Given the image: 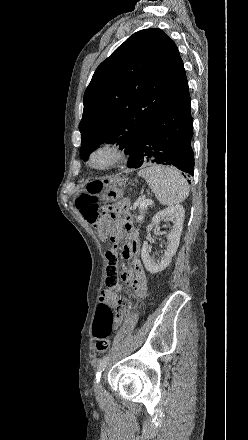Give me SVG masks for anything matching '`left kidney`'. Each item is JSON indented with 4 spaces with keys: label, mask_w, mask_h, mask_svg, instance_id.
<instances>
[{
    "label": "left kidney",
    "mask_w": 248,
    "mask_h": 440,
    "mask_svg": "<svg viewBox=\"0 0 248 440\" xmlns=\"http://www.w3.org/2000/svg\"><path fill=\"white\" fill-rule=\"evenodd\" d=\"M185 210L182 205H175L165 208L157 212L151 221V224L147 226V232L149 233L154 225H158L160 221L165 217H171L174 226L171 232L168 234V246L164 255L160 260L155 262L149 254L148 243L145 241L142 246L141 256L145 268L148 272L155 274L164 270L171 262L172 257L175 255L179 246L180 236L183 229Z\"/></svg>",
    "instance_id": "1"
}]
</instances>
